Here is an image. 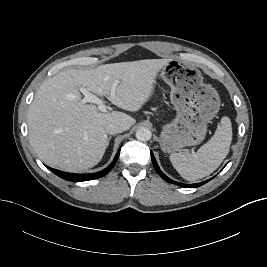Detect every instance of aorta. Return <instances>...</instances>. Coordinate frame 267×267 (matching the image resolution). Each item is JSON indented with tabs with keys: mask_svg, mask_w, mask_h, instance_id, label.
<instances>
[{
	"mask_svg": "<svg viewBox=\"0 0 267 267\" xmlns=\"http://www.w3.org/2000/svg\"><path fill=\"white\" fill-rule=\"evenodd\" d=\"M151 137H152V133L150 129H148L147 127H140L136 131V138L139 141H149Z\"/></svg>",
	"mask_w": 267,
	"mask_h": 267,
	"instance_id": "obj_1",
	"label": "aorta"
}]
</instances>
